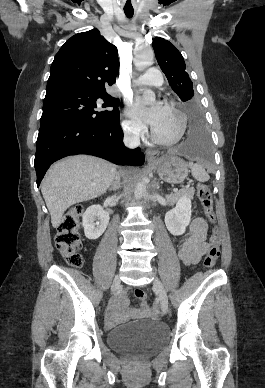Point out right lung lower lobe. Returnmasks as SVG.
<instances>
[{
	"label": "right lung lower lobe",
	"instance_id": "obj_1",
	"mask_svg": "<svg viewBox=\"0 0 265 388\" xmlns=\"http://www.w3.org/2000/svg\"><path fill=\"white\" fill-rule=\"evenodd\" d=\"M122 140L123 131L119 119L106 125L66 120L41 126L34 161L37 186L49 166L68 155L85 153L118 165H142L144 154L139 148H126Z\"/></svg>",
	"mask_w": 265,
	"mask_h": 388
}]
</instances>
